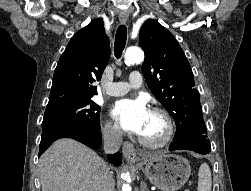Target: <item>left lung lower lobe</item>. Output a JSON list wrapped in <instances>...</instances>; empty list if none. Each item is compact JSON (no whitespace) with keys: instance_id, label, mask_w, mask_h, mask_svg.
<instances>
[{"instance_id":"1","label":"left lung lower lobe","mask_w":251,"mask_h":191,"mask_svg":"<svg viewBox=\"0 0 251 191\" xmlns=\"http://www.w3.org/2000/svg\"><path fill=\"white\" fill-rule=\"evenodd\" d=\"M169 150H190L200 154H209L211 146L207 136L202 134H191L174 140Z\"/></svg>"}]
</instances>
